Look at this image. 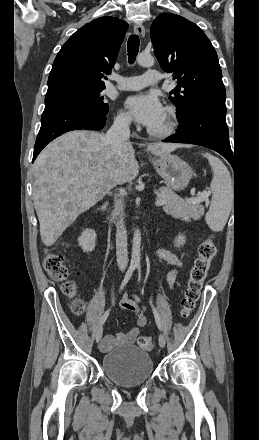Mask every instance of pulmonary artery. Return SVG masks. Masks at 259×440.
<instances>
[{
	"instance_id": "e3ab8cb5",
	"label": "pulmonary artery",
	"mask_w": 259,
	"mask_h": 440,
	"mask_svg": "<svg viewBox=\"0 0 259 440\" xmlns=\"http://www.w3.org/2000/svg\"><path fill=\"white\" fill-rule=\"evenodd\" d=\"M117 82L115 87L119 90H140L148 85H154L161 80V75L158 71L148 69L143 75L122 77L114 76Z\"/></svg>"
}]
</instances>
